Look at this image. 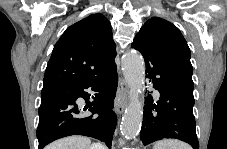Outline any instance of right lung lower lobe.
Instances as JSON below:
<instances>
[{
    "instance_id": "right-lung-lower-lobe-1",
    "label": "right lung lower lobe",
    "mask_w": 227,
    "mask_h": 149,
    "mask_svg": "<svg viewBox=\"0 0 227 149\" xmlns=\"http://www.w3.org/2000/svg\"><path fill=\"white\" fill-rule=\"evenodd\" d=\"M117 85L116 64L112 61L99 72L68 86L66 91L41 104L38 110V149L70 135L93 137L111 148L117 119L112 111ZM85 89L95 94L91 96ZM79 97L86 100L84 108L75 103ZM90 97L92 101H89ZM84 111H90L92 115L86 117Z\"/></svg>"
}]
</instances>
